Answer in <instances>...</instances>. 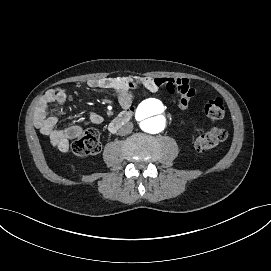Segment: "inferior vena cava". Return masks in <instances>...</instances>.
<instances>
[{
    "instance_id": "602c4592",
    "label": "inferior vena cava",
    "mask_w": 271,
    "mask_h": 271,
    "mask_svg": "<svg viewBox=\"0 0 271 271\" xmlns=\"http://www.w3.org/2000/svg\"><path fill=\"white\" fill-rule=\"evenodd\" d=\"M131 130H132V128H131L130 124L128 123V124L124 125V126L119 130V134H120V135H125V134H127V133H130Z\"/></svg>"
}]
</instances>
